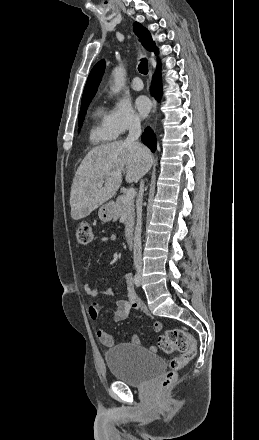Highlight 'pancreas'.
Instances as JSON below:
<instances>
[{"mask_svg": "<svg viewBox=\"0 0 259 440\" xmlns=\"http://www.w3.org/2000/svg\"><path fill=\"white\" fill-rule=\"evenodd\" d=\"M124 196L121 195L117 198L116 203L114 205V218H119L124 216L126 219L125 225V234L128 235L132 229L135 218V209H134V201H130L128 203H124Z\"/></svg>", "mask_w": 259, "mask_h": 440, "instance_id": "cf45deb5", "label": "pancreas"}]
</instances>
